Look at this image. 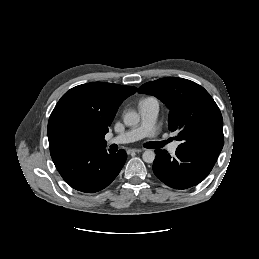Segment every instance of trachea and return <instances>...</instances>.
I'll list each match as a JSON object with an SVG mask.
<instances>
[{"label": "trachea", "mask_w": 259, "mask_h": 259, "mask_svg": "<svg viewBox=\"0 0 259 259\" xmlns=\"http://www.w3.org/2000/svg\"><path fill=\"white\" fill-rule=\"evenodd\" d=\"M167 141L163 142H149L146 144L148 148H160L162 147Z\"/></svg>", "instance_id": "trachea-1"}]
</instances>
